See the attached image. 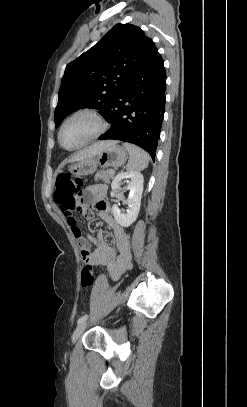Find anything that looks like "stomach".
Here are the masks:
<instances>
[{
    "label": "stomach",
    "instance_id": "stomach-1",
    "mask_svg": "<svg viewBox=\"0 0 247 407\" xmlns=\"http://www.w3.org/2000/svg\"><path fill=\"white\" fill-rule=\"evenodd\" d=\"M127 159V150L117 143H112L100 153L73 163L68 170L74 176H87L94 173L98 166L116 168L124 165Z\"/></svg>",
    "mask_w": 247,
    "mask_h": 407
}]
</instances>
